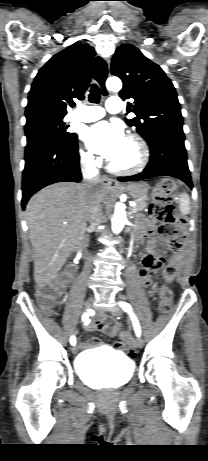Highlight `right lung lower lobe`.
<instances>
[{
	"instance_id": "right-lung-lower-lobe-1",
	"label": "right lung lower lobe",
	"mask_w": 208,
	"mask_h": 461,
	"mask_svg": "<svg viewBox=\"0 0 208 461\" xmlns=\"http://www.w3.org/2000/svg\"><path fill=\"white\" fill-rule=\"evenodd\" d=\"M78 141L63 142L44 138L25 149V167L22 179V207L41 188L56 182H79Z\"/></svg>"
}]
</instances>
